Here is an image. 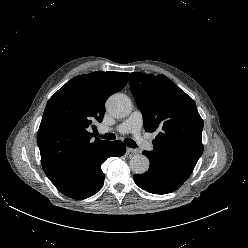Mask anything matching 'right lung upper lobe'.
Wrapping results in <instances>:
<instances>
[{
	"instance_id": "1",
	"label": "right lung upper lobe",
	"mask_w": 248,
	"mask_h": 248,
	"mask_svg": "<svg viewBox=\"0 0 248 248\" xmlns=\"http://www.w3.org/2000/svg\"><path fill=\"white\" fill-rule=\"evenodd\" d=\"M129 73L92 72L72 78L48 101L37 133L43 170L58 176L78 155L105 144L89 132L103 120L105 101L127 83Z\"/></svg>"
}]
</instances>
